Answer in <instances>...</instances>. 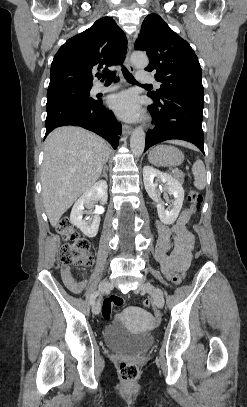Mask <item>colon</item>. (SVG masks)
I'll return each mask as SVG.
<instances>
[{"label":"colon","instance_id":"5ec220e1","mask_svg":"<svg viewBox=\"0 0 247 407\" xmlns=\"http://www.w3.org/2000/svg\"><path fill=\"white\" fill-rule=\"evenodd\" d=\"M188 201L192 208L198 210L203 201L202 194L192 188L188 193ZM57 232L63 239V246L60 250L59 259L64 266H88L92 263V257L89 252V244L86 239L81 237L74 229L67 218H62L57 224ZM172 283L178 285L181 282V276L176 274L171 279ZM126 299L120 295H112L107 297L103 302L102 316L109 320L114 307H121L125 304ZM145 307L151 305L150 301L143 302ZM119 372L121 378L125 382H133L139 376V367L132 362L123 361L120 363Z\"/></svg>","mask_w":247,"mask_h":407}]
</instances>
